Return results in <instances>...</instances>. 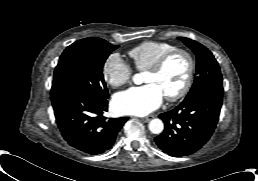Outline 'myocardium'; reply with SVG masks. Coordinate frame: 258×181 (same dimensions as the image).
<instances>
[{
	"label": "myocardium",
	"instance_id": "obj_1",
	"mask_svg": "<svg viewBox=\"0 0 258 181\" xmlns=\"http://www.w3.org/2000/svg\"><path fill=\"white\" fill-rule=\"evenodd\" d=\"M176 55H183L187 59L188 71L183 86L176 93L165 95L166 99L169 101H177L183 98L189 92L193 83L194 73L196 69V62L193 55L186 49L175 48L163 54L152 66L146 69L147 72L159 73L165 67L167 62Z\"/></svg>",
	"mask_w": 258,
	"mask_h": 181
}]
</instances>
